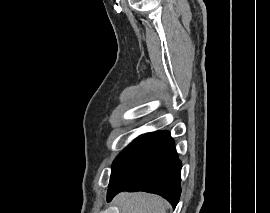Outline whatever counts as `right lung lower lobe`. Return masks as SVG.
<instances>
[{
	"mask_svg": "<svg viewBox=\"0 0 270 213\" xmlns=\"http://www.w3.org/2000/svg\"><path fill=\"white\" fill-rule=\"evenodd\" d=\"M181 167L169 132L141 135L115 159L107 199L124 190L146 191L161 195L175 207L181 193Z\"/></svg>",
	"mask_w": 270,
	"mask_h": 213,
	"instance_id": "1",
	"label": "right lung lower lobe"
}]
</instances>
